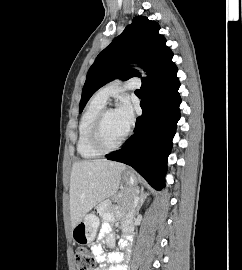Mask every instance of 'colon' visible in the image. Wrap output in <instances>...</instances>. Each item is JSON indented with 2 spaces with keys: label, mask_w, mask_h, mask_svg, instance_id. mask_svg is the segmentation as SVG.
Returning <instances> with one entry per match:
<instances>
[{
  "label": "colon",
  "mask_w": 242,
  "mask_h": 270,
  "mask_svg": "<svg viewBox=\"0 0 242 270\" xmlns=\"http://www.w3.org/2000/svg\"><path fill=\"white\" fill-rule=\"evenodd\" d=\"M76 270H94L96 258L85 248H78L74 253Z\"/></svg>",
  "instance_id": "obj_1"
}]
</instances>
